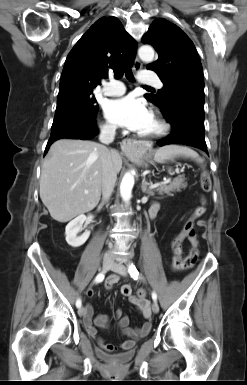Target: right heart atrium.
I'll return each mask as SVG.
<instances>
[{"mask_svg":"<svg viewBox=\"0 0 247 385\" xmlns=\"http://www.w3.org/2000/svg\"><path fill=\"white\" fill-rule=\"evenodd\" d=\"M101 130L105 133H114L116 128L113 124H111L109 122H103L101 124Z\"/></svg>","mask_w":247,"mask_h":385,"instance_id":"1","label":"right heart atrium"}]
</instances>
